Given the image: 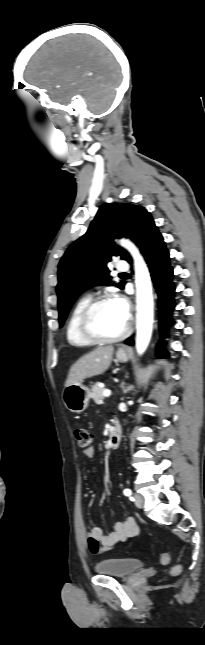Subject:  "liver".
I'll return each mask as SVG.
<instances>
[{"label": "liver", "mask_w": 205, "mask_h": 645, "mask_svg": "<svg viewBox=\"0 0 205 645\" xmlns=\"http://www.w3.org/2000/svg\"><path fill=\"white\" fill-rule=\"evenodd\" d=\"M113 351V346H102L79 358L70 368L65 387L105 372L111 364Z\"/></svg>", "instance_id": "1"}]
</instances>
